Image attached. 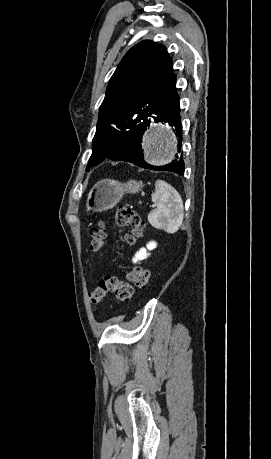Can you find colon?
<instances>
[{
  "label": "colon",
  "instance_id": "1",
  "mask_svg": "<svg viewBox=\"0 0 271 459\" xmlns=\"http://www.w3.org/2000/svg\"><path fill=\"white\" fill-rule=\"evenodd\" d=\"M115 223L119 227L127 228L129 231L125 235V242L133 244L141 235L144 228V221L140 214L129 207H121L115 215ZM91 243L90 248L93 251H99L104 246L105 241V224L98 222L90 230ZM129 281L138 289H145L149 281V273L143 267H134L128 273ZM108 294H112L121 302H129L133 297V287L128 282L120 280L114 275H107L101 278L97 285L90 293L93 304L101 302Z\"/></svg>",
  "mask_w": 271,
  "mask_h": 459
}]
</instances>
